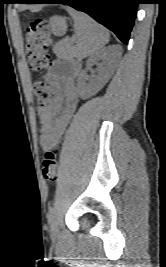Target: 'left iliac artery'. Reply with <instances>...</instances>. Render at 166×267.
Masks as SVG:
<instances>
[{"mask_svg":"<svg viewBox=\"0 0 166 267\" xmlns=\"http://www.w3.org/2000/svg\"><path fill=\"white\" fill-rule=\"evenodd\" d=\"M55 216H56V209L54 207H52L49 209V213H48L49 224H52L54 222Z\"/></svg>","mask_w":166,"mask_h":267,"instance_id":"left-iliac-artery-1","label":"left iliac artery"}]
</instances>
